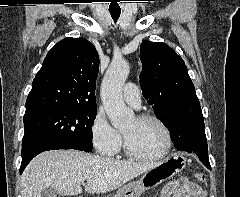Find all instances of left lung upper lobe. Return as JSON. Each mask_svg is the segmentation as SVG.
Returning <instances> with one entry per match:
<instances>
[{"mask_svg": "<svg viewBox=\"0 0 240 197\" xmlns=\"http://www.w3.org/2000/svg\"><path fill=\"white\" fill-rule=\"evenodd\" d=\"M140 50L143 96L171 134L181 128L185 120L203 117L183 59L165 43L143 41ZM204 149L192 147L189 151Z\"/></svg>", "mask_w": 240, "mask_h": 197, "instance_id": "1", "label": "left lung upper lobe"}]
</instances>
